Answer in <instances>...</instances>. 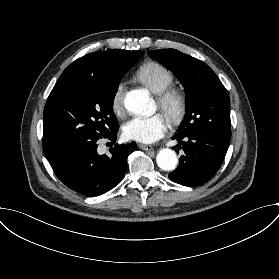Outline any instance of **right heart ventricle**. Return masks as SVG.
Returning a JSON list of instances; mask_svg holds the SVG:
<instances>
[{
  "label": "right heart ventricle",
  "instance_id": "obj_1",
  "mask_svg": "<svg viewBox=\"0 0 279 279\" xmlns=\"http://www.w3.org/2000/svg\"><path fill=\"white\" fill-rule=\"evenodd\" d=\"M137 79L155 93L172 86L174 74L157 61H146L136 71Z\"/></svg>",
  "mask_w": 279,
  "mask_h": 279
}]
</instances>
